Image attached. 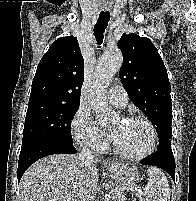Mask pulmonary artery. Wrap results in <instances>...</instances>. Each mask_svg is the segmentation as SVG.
<instances>
[{"mask_svg":"<svg viewBox=\"0 0 196 201\" xmlns=\"http://www.w3.org/2000/svg\"><path fill=\"white\" fill-rule=\"evenodd\" d=\"M107 97L109 102L118 108L125 107L128 101L127 93L120 85L111 87L107 93Z\"/></svg>","mask_w":196,"mask_h":201,"instance_id":"pulmonary-artery-1","label":"pulmonary artery"}]
</instances>
